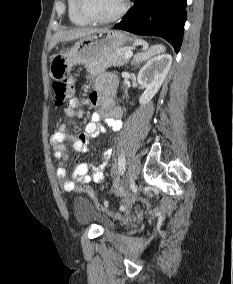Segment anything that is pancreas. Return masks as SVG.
I'll use <instances>...</instances> for the list:
<instances>
[{
    "instance_id": "obj_1",
    "label": "pancreas",
    "mask_w": 233,
    "mask_h": 284,
    "mask_svg": "<svg viewBox=\"0 0 233 284\" xmlns=\"http://www.w3.org/2000/svg\"><path fill=\"white\" fill-rule=\"evenodd\" d=\"M125 51H113L105 54L95 61L85 65L86 70L89 73H102L109 67H120L128 62V59H124Z\"/></svg>"
}]
</instances>
